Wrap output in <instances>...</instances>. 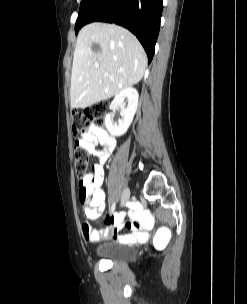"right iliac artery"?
I'll list each match as a JSON object with an SVG mask.
<instances>
[{"label": "right iliac artery", "mask_w": 247, "mask_h": 304, "mask_svg": "<svg viewBox=\"0 0 247 304\" xmlns=\"http://www.w3.org/2000/svg\"><path fill=\"white\" fill-rule=\"evenodd\" d=\"M114 208H115V204L112 205V207H111V212L114 211Z\"/></svg>", "instance_id": "obj_1"}]
</instances>
